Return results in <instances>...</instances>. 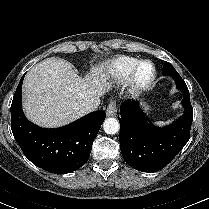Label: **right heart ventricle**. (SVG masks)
Returning a JSON list of instances; mask_svg holds the SVG:
<instances>
[{
    "instance_id": "obj_1",
    "label": "right heart ventricle",
    "mask_w": 209,
    "mask_h": 209,
    "mask_svg": "<svg viewBox=\"0 0 209 209\" xmlns=\"http://www.w3.org/2000/svg\"><path fill=\"white\" fill-rule=\"evenodd\" d=\"M139 61L137 58L126 56L116 58L110 65V76L120 82L128 81Z\"/></svg>"
}]
</instances>
